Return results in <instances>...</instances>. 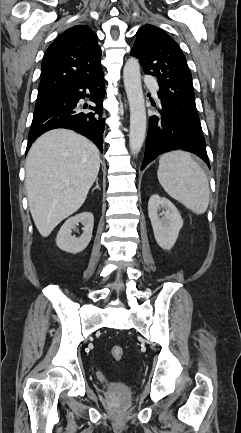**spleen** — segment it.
I'll return each instance as SVG.
<instances>
[{
    "label": "spleen",
    "instance_id": "spleen-1",
    "mask_svg": "<svg viewBox=\"0 0 241 433\" xmlns=\"http://www.w3.org/2000/svg\"><path fill=\"white\" fill-rule=\"evenodd\" d=\"M159 183L166 193L197 215L209 205V183L204 170L185 151H171L159 159Z\"/></svg>",
    "mask_w": 241,
    "mask_h": 433
}]
</instances>
